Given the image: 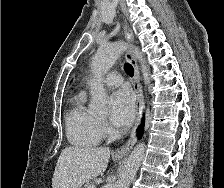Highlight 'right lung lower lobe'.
Instances as JSON below:
<instances>
[{"mask_svg":"<svg viewBox=\"0 0 224 188\" xmlns=\"http://www.w3.org/2000/svg\"><path fill=\"white\" fill-rule=\"evenodd\" d=\"M143 126H144V120L142 122V125L140 126V128L138 129V136L141 137L142 133H143Z\"/></svg>","mask_w":224,"mask_h":188,"instance_id":"1","label":"right lung lower lobe"}]
</instances>
